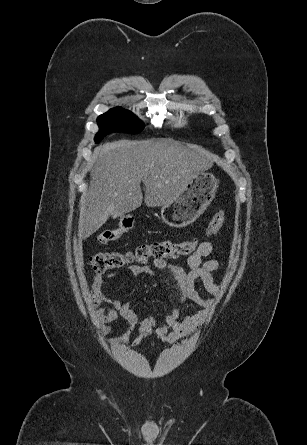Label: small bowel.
Listing matches in <instances>:
<instances>
[{
  "label": "small bowel",
  "mask_w": 307,
  "mask_h": 445,
  "mask_svg": "<svg viewBox=\"0 0 307 445\" xmlns=\"http://www.w3.org/2000/svg\"><path fill=\"white\" fill-rule=\"evenodd\" d=\"M214 244L212 241L201 243L197 250L188 257L189 270L180 265L171 263L166 259H155L153 268L168 271L177 282L180 289V304L192 302L201 310L181 318V308H173L165 318L164 324H158L152 316L138 318L130 303L122 302L116 297L108 296L103 291L105 280H111L119 275V271H112L106 276L97 274L94 277L92 289L95 293V304L100 306L96 311L99 321L103 324L111 323L121 317L128 325L127 330L119 337L113 339L115 343H126L133 332L137 336L133 345L139 344L142 338L155 335L162 341L175 343L196 332L207 317L213 305L211 299L203 297L196 289V283H201L203 288L213 296L219 293V286L212 278V272L220 268L221 262L216 259H208L212 253ZM150 266L133 265L129 272L134 275L154 274Z\"/></svg>",
  "instance_id": "c3829d8e"
}]
</instances>
